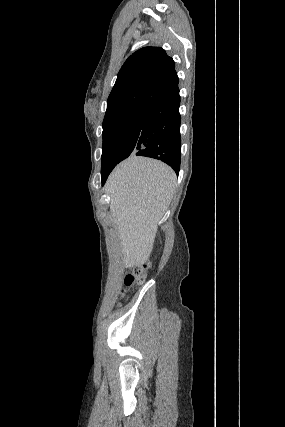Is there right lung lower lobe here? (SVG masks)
I'll return each instance as SVG.
<instances>
[{"instance_id":"1","label":"right lung lower lobe","mask_w":285,"mask_h":427,"mask_svg":"<svg viewBox=\"0 0 285 427\" xmlns=\"http://www.w3.org/2000/svg\"><path fill=\"white\" fill-rule=\"evenodd\" d=\"M180 96L179 90L154 103L147 110L134 154L158 159L180 170ZM111 171L101 172L104 185Z\"/></svg>"}]
</instances>
